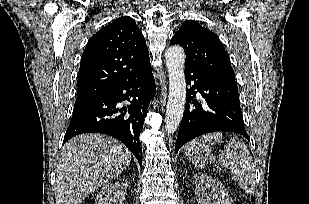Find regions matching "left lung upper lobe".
<instances>
[{
    "mask_svg": "<svg viewBox=\"0 0 309 204\" xmlns=\"http://www.w3.org/2000/svg\"><path fill=\"white\" fill-rule=\"evenodd\" d=\"M170 44L184 48L185 67L205 70L220 78L235 81L230 59L218 36L197 21H186Z\"/></svg>",
    "mask_w": 309,
    "mask_h": 204,
    "instance_id": "obj_1",
    "label": "left lung upper lobe"
}]
</instances>
